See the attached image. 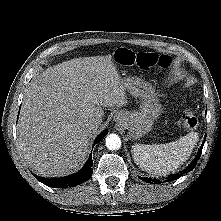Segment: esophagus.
I'll return each instance as SVG.
<instances>
[{
	"label": "esophagus",
	"instance_id": "34e87169",
	"mask_svg": "<svg viewBox=\"0 0 221 221\" xmlns=\"http://www.w3.org/2000/svg\"><path fill=\"white\" fill-rule=\"evenodd\" d=\"M121 118H122V115H121V114H118V115L115 116V119H116L117 121H121Z\"/></svg>",
	"mask_w": 221,
	"mask_h": 221
}]
</instances>
